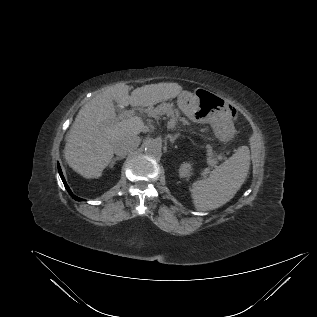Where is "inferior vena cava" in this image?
<instances>
[{"mask_svg":"<svg viewBox=\"0 0 317 317\" xmlns=\"http://www.w3.org/2000/svg\"><path fill=\"white\" fill-rule=\"evenodd\" d=\"M140 144L137 136H127L116 141L113 144L114 153L120 157L126 156L129 152L136 149Z\"/></svg>","mask_w":317,"mask_h":317,"instance_id":"1","label":"inferior vena cava"}]
</instances>
